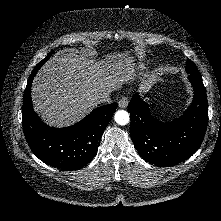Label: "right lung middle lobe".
Listing matches in <instances>:
<instances>
[{
    "label": "right lung middle lobe",
    "mask_w": 221,
    "mask_h": 221,
    "mask_svg": "<svg viewBox=\"0 0 221 221\" xmlns=\"http://www.w3.org/2000/svg\"><path fill=\"white\" fill-rule=\"evenodd\" d=\"M52 54H53V51L50 52V53L46 56L45 59H43L41 62H39V63L35 66V68H34L33 71H38V70L41 68V66L49 59V57H50Z\"/></svg>",
    "instance_id": "dd1d6c3e"
}]
</instances>
